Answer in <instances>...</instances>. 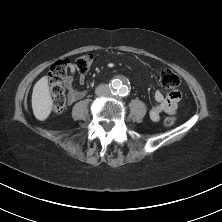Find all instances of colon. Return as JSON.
Returning a JSON list of instances; mask_svg holds the SVG:
<instances>
[{
  "label": "colon",
  "mask_w": 222,
  "mask_h": 222,
  "mask_svg": "<svg viewBox=\"0 0 222 222\" xmlns=\"http://www.w3.org/2000/svg\"><path fill=\"white\" fill-rule=\"evenodd\" d=\"M93 61L94 56L90 53H85L75 60L74 66L80 74H85L92 67ZM71 66L69 60L61 59L54 62L49 68V83L53 98L52 108L56 114L62 113L66 107L67 95L64 82ZM159 82L164 89L171 91L178 89L181 79L173 70L164 69L160 73ZM177 116L178 111L174 109L170 115L164 119V126H173L177 121Z\"/></svg>",
  "instance_id": "colon-1"
}]
</instances>
